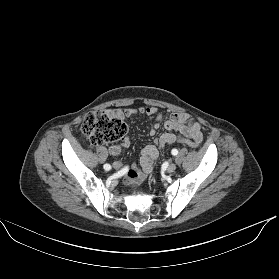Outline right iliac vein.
<instances>
[{"instance_id":"obj_1","label":"right iliac vein","mask_w":279,"mask_h":279,"mask_svg":"<svg viewBox=\"0 0 279 279\" xmlns=\"http://www.w3.org/2000/svg\"><path fill=\"white\" fill-rule=\"evenodd\" d=\"M120 167H121V163L120 162H114L113 163V168L119 169Z\"/></svg>"}]
</instances>
